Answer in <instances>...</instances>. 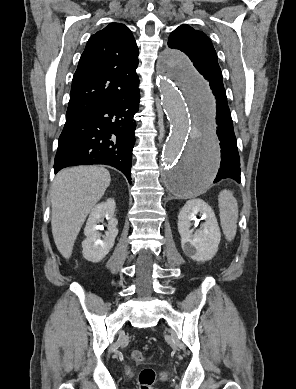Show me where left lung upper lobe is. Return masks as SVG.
Instances as JSON below:
<instances>
[{
  "instance_id": "1",
  "label": "left lung upper lobe",
  "mask_w": 296,
  "mask_h": 389,
  "mask_svg": "<svg viewBox=\"0 0 296 389\" xmlns=\"http://www.w3.org/2000/svg\"><path fill=\"white\" fill-rule=\"evenodd\" d=\"M168 46L184 52L204 78L221 73L216 51L205 33L181 25L170 34Z\"/></svg>"
}]
</instances>
